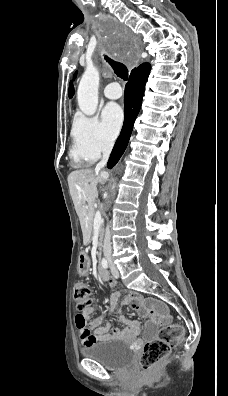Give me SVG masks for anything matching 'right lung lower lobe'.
I'll return each mask as SVG.
<instances>
[{"label": "right lung lower lobe", "instance_id": "obj_1", "mask_svg": "<svg viewBox=\"0 0 228 396\" xmlns=\"http://www.w3.org/2000/svg\"><path fill=\"white\" fill-rule=\"evenodd\" d=\"M148 63L141 64L132 70L124 94V124L109 158L108 168H112L125 151L131 136L134 121L140 111L145 84L150 73Z\"/></svg>", "mask_w": 228, "mask_h": 396}]
</instances>
